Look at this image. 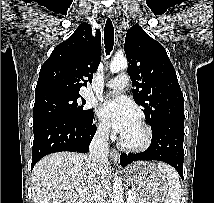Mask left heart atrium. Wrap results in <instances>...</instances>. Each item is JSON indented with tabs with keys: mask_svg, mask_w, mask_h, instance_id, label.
Here are the masks:
<instances>
[{
	"mask_svg": "<svg viewBox=\"0 0 214 203\" xmlns=\"http://www.w3.org/2000/svg\"><path fill=\"white\" fill-rule=\"evenodd\" d=\"M97 111L106 125L122 135L139 121V115L132 103L120 94H114L103 101Z\"/></svg>",
	"mask_w": 214,
	"mask_h": 203,
	"instance_id": "1",
	"label": "left heart atrium"
}]
</instances>
